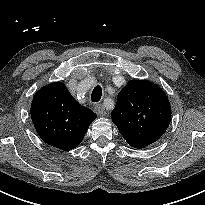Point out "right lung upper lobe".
Listing matches in <instances>:
<instances>
[{
	"label": "right lung upper lobe",
	"mask_w": 205,
	"mask_h": 205,
	"mask_svg": "<svg viewBox=\"0 0 205 205\" xmlns=\"http://www.w3.org/2000/svg\"><path fill=\"white\" fill-rule=\"evenodd\" d=\"M96 117L73 98L62 82L41 88L31 105V118L38 135L62 150L76 148Z\"/></svg>",
	"instance_id": "1"
}]
</instances>
